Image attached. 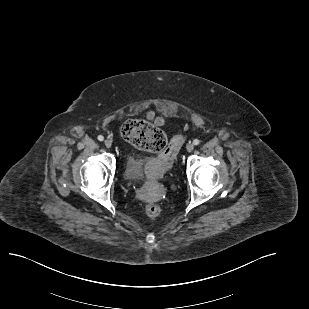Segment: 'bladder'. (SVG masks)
<instances>
[{"instance_id": "obj_1", "label": "bladder", "mask_w": 309, "mask_h": 309, "mask_svg": "<svg viewBox=\"0 0 309 309\" xmlns=\"http://www.w3.org/2000/svg\"><path fill=\"white\" fill-rule=\"evenodd\" d=\"M147 164V159L130 153L125 159L124 165V177L126 180L131 182H142L148 179L145 166Z\"/></svg>"}]
</instances>
